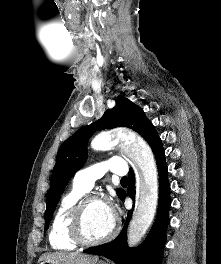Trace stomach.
<instances>
[{
    "mask_svg": "<svg viewBox=\"0 0 221 264\" xmlns=\"http://www.w3.org/2000/svg\"><path fill=\"white\" fill-rule=\"evenodd\" d=\"M39 264H51V263H48V262L42 261V262H40ZM99 264H106V263H99Z\"/></svg>",
    "mask_w": 221,
    "mask_h": 264,
    "instance_id": "stomach-1",
    "label": "stomach"
}]
</instances>
